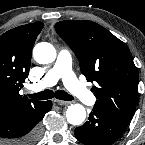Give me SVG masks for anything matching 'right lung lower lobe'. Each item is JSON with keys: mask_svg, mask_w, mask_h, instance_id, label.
<instances>
[{"mask_svg": "<svg viewBox=\"0 0 145 145\" xmlns=\"http://www.w3.org/2000/svg\"><path fill=\"white\" fill-rule=\"evenodd\" d=\"M51 101L0 113V139L9 145H35L41 136L40 121L51 110Z\"/></svg>", "mask_w": 145, "mask_h": 145, "instance_id": "98d812e1", "label": "right lung lower lobe"}]
</instances>
